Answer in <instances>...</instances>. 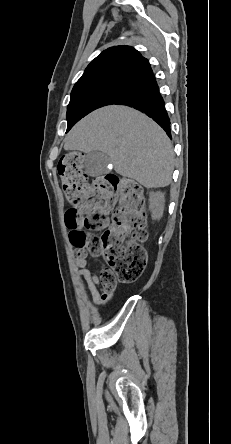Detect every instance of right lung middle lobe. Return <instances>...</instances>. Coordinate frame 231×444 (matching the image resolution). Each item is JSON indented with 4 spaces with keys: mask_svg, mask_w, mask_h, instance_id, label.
Here are the masks:
<instances>
[{
    "mask_svg": "<svg viewBox=\"0 0 231 444\" xmlns=\"http://www.w3.org/2000/svg\"><path fill=\"white\" fill-rule=\"evenodd\" d=\"M127 92H129V89L117 84H101L72 90L67 109V132L88 113L97 108L113 104Z\"/></svg>",
    "mask_w": 231,
    "mask_h": 444,
    "instance_id": "1",
    "label": "right lung middle lobe"
}]
</instances>
